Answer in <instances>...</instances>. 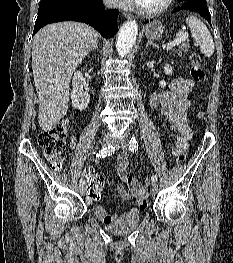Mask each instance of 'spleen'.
Returning a JSON list of instances; mask_svg holds the SVG:
<instances>
[{"instance_id": "3e777b00", "label": "spleen", "mask_w": 233, "mask_h": 263, "mask_svg": "<svg viewBox=\"0 0 233 263\" xmlns=\"http://www.w3.org/2000/svg\"><path fill=\"white\" fill-rule=\"evenodd\" d=\"M186 23L190 27L193 39L199 44L201 53L206 57H211L215 45L206 25L194 16L187 17Z\"/></svg>"}]
</instances>
